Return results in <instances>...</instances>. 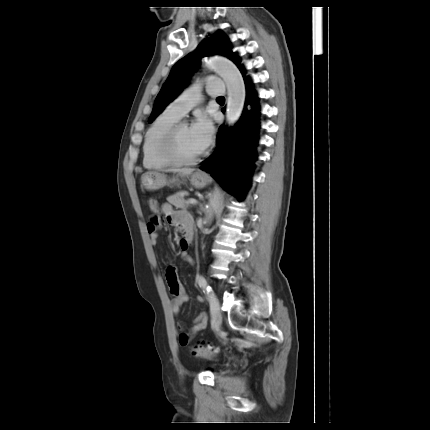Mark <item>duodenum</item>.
Listing matches in <instances>:
<instances>
[{
  "label": "duodenum",
  "mask_w": 430,
  "mask_h": 430,
  "mask_svg": "<svg viewBox=\"0 0 430 430\" xmlns=\"http://www.w3.org/2000/svg\"><path fill=\"white\" fill-rule=\"evenodd\" d=\"M191 241H192V237L189 238V242H191Z\"/></svg>",
  "instance_id": "1"
}]
</instances>
